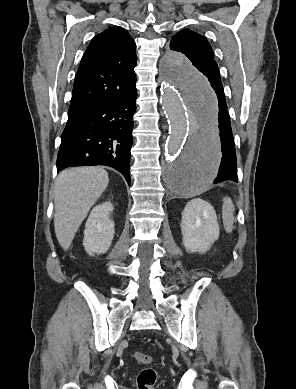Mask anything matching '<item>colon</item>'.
<instances>
[{
    "mask_svg": "<svg viewBox=\"0 0 296 389\" xmlns=\"http://www.w3.org/2000/svg\"><path fill=\"white\" fill-rule=\"evenodd\" d=\"M134 358L141 364H151L153 362V358L150 355L141 352H135ZM156 381V370L151 367L144 368L139 372L137 377L138 389H153Z\"/></svg>",
    "mask_w": 296,
    "mask_h": 389,
    "instance_id": "1",
    "label": "colon"
}]
</instances>
